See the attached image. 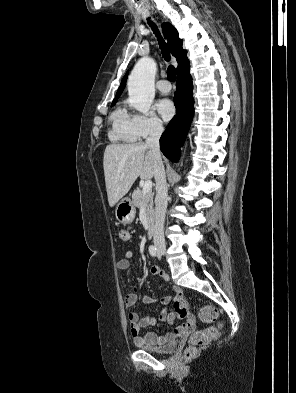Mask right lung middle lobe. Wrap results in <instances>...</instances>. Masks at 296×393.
<instances>
[{
	"instance_id": "1",
	"label": "right lung middle lobe",
	"mask_w": 296,
	"mask_h": 393,
	"mask_svg": "<svg viewBox=\"0 0 296 393\" xmlns=\"http://www.w3.org/2000/svg\"><path fill=\"white\" fill-rule=\"evenodd\" d=\"M116 103V101H114L113 103H112V105H114Z\"/></svg>"
}]
</instances>
